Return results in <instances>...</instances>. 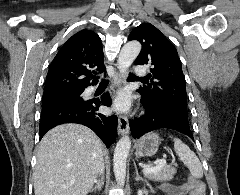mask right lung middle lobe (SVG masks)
<instances>
[{"label": "right lung middle lobe", "mask_w": 240, "mask_h": 195, "mask_svg": "<svg viewBox=\"0 0 240 195\" xmlns=\"http://www.w3.org/2000/svg\"><path fill=\"white\" fill-rule=\"evenodd\" d=\"M82 91H65L53 94L43 95L42 106L54 101H83L81 98Z\"/></svg>", "instance_id": "1"}]
</instances>
